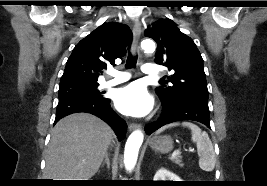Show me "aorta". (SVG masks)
Segmentation results:
<instances>
[{
  "mask_svg": "<svg viewBox=\"0 0 267 186\" xmlns=\"http://www.w3.org/2000/svg\"><path fill=\"white\" fill-rule=\"evenodd\" d=\"M141 47L146 53H153L155 51V42L151 39H145L141 42ZM143 139L144 135L140 130L132 132L127 139L124 150V164L128 171H131L136 165Z\"/></svg>",
  "mask_w": 267,
  "mask_h": 186,
  "instance_id": "obj_1",
  "label": "aorta"
}]
</instances>
